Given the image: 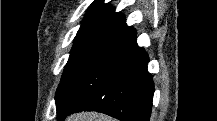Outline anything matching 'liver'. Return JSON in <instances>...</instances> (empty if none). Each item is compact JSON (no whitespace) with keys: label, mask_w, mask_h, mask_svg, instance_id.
Instances as JSON below:
<instances>
[{"label":"liver","mask_w":217,"mask_h":121,"mask_svg":"<svg viewBox=\"0 0 217 121\" xmlns=\"http://www.w3.org/2000/svg\"><path fill=\"white\" fill-rule=\"evenodd\" d=\"M67 121H114L113 118L93 112H83L71 115Z\"/></svg>","instance_id":"6515ba94"}]
</instances>
